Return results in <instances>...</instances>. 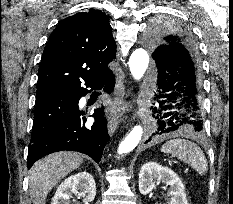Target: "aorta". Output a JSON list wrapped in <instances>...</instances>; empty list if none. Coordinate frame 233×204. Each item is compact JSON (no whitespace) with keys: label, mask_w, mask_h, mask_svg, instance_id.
I'll return each mask as SVG.
<instances>
[{"label":"aorta","mask_w":233,"mask_h":204,"mask_svg":"<svg viewBox=\"0 0 233 204\" xmlns=\"http://www.w3.org/2000/svg\"><path fill=\"white\" fill-rule=\"evenodd\" d=\"M149 56L145 49H136L130 56L129 68L132 76L136 80H140L148 68ZM143 133L141 125H136L130 133L121 142L118 147V154H127L132 151L140 142Z\"/></svg>","instance_id":"aorta-1"}]
</instances>
